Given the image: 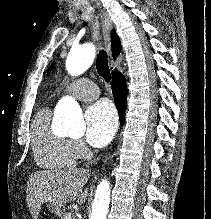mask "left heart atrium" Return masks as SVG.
I'll return each instance as SVG.
<instances>
[{"mask_svg": "<svg viewBox=\"0 0 211 219\" xmlns=\"http://www.w3.org/2000/svg\"><path fill=\"white\" fill-rule=\"evenodd\" d=\"M86 140L95 147L106 145L117 128V115L108 101L93 104L85 113Z\"/></svg>", "mask_w": 211, "mask_h": 219, "instance_id": "obj_1", "label": "left heart atrium"}]
</instances>
